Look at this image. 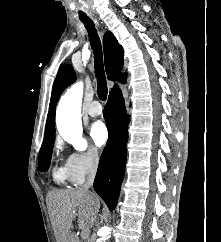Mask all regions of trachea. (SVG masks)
Masks as SVG:
<instances>
[{
	"label": "trachea",
	"instance_id": "1",
	"mask_svg": "<svg viewBox=\"0 0 221 242\" xmlns=\"http://www.w3.org/2000/svg\"><path fill=\"white\" fill-rule=\"evenodd\" d=\"M81 21L85 25L88 33H89V40L91 44V48L94 54V68L95 74L98 81V88L97 94L102 101H105L107 98V84H106V77L103 67V55H102V47L101 42L98 37L97 31L91 19L89 18H81Z\"/></svg>",
	"mask_w": 221,
	"mask_h": 242
}]
</instances>
